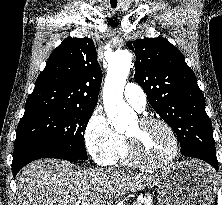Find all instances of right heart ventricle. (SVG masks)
Masks as SVG:
<instances>
[{
  "instance_id": "obj_1",
  "label": "right heart ventricle",
  "mask_w": 222,
  "mask_h": 205,
  "mask_svg": "<svg viewBox=\"0 0 222 205\" xmlns=\"http://www.w3.org/2000/svg\"><path fill=\"white\" fill-rule=\"evenodd\" d=\"M133 162L134 161L132 160L129 154L127 139L122 136V143H121L120 149L118 150L117 154L113 158L110 165L117 164V163L132 164Z\"/></svg>"
}]
</instances>
